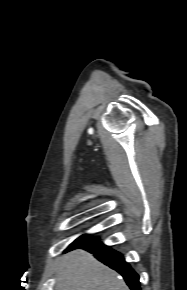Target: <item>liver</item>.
I'll use <instances>...</instances> for the list:
<instances>
[{"label":"liver","mask_w":187,"mask_h":290,"mask_svg":"<svg viewBox=\"0 0 187 290\" xmlns=\"http://www.w3.org/2000/svg\"><path fill=\"white\" fill-rule=\"evenodd\" d=\"M55 290H130L117 272L90 253L75 250L62 257L56 269Z\"/></svg>","instance_id":"6515ba94"}]
</instances>
